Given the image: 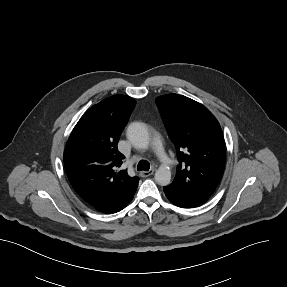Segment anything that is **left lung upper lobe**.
Listing matches in <instances>:
<instances>
[{
	"label": "left lung upper lobe",
	"mask_w": 287,
	"mask_h": 287,
	"mask_svg": "<svg viewBox=\"0 0 287 287\" xmlns=\"http://www.w3.org/2000/svg\"><path fill=\"white\" fill-rule=\"evenodd\" d=\"M156 103L180 162L169 186L209 198L225 166L224 138L217 119L205 106L182 95L159 96Z\"/></svg>",
	"instance_id": "left-lung-upper-lobe-1"
}]
</instances>
